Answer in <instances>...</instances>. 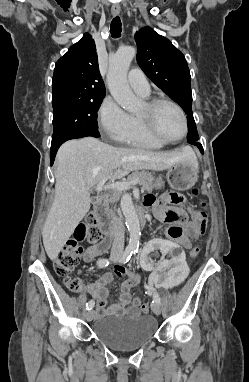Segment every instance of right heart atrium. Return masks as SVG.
Returning <instances> with one entry per match:
<instances>
[{
    "label": "right heart atrium",
    "instance_id": "1",
    "mask_svg": "<svg viewBox=\"0 0 249 382\" xmlns=\"http://www.w3.org/2000/svg\"><path fill=\"white\" fill-rule=\"evenodd\" d=\"M97 120L101 133L114 141H121L131 131L130 115L110 96L103 99L97 112Z\"/></svg>",
    "mask_w": 249,
    "mask_h": 382
}]
</instances>
